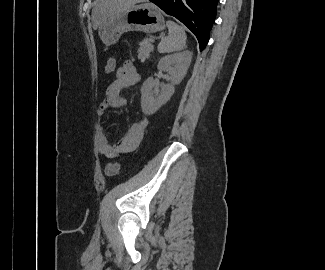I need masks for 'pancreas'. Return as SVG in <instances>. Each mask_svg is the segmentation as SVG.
<instances>
[{
  "label": "pancreas",
  "instance_id": "1",
  "mask_svg": "<svg viewBox=\"0 0 325 270\" xmlns=\"http://www.w3.org/2000/svg\"><path fill=\"white\" fill-rule=\"evenodd\" d=\"M154 46L150 39H144L138 48V58L142 61L147 59L150 56V53L153 51Z\"/></svg>",
  "mask_w": 325,
  "mask_h": 270
}]
</instances>
